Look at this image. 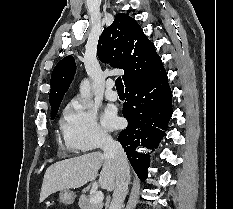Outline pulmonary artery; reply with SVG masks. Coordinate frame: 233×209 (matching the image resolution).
<instances>
[{"label": "pulmonary artery", "instance_id": "e3ab8cb5", "mask_svg": "<svg viewBox=\"0 0 233 209\" xmlns=\"http://www.w3.org/2000/svg\"><path fill=\"white\" fill-rule=\"evenodd\" d=\"M113 88H114V81L108 80L106 83L105 97L110 101H116L118 99V94Z\"/></svg>", "mask_w": 233, "mask_h": 209}]
</instances>
